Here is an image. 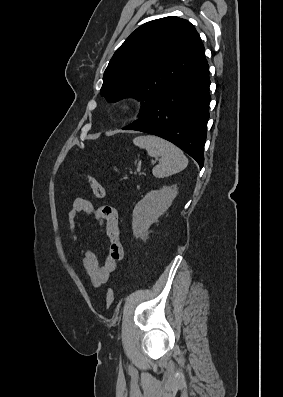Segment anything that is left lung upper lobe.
Here are the masks:
<instances>
[{"label": "left lung upper lobe", "mask_w": 283, "mask_h": 397, "mask_svg": "<svg viewBox=\"0 0 283 397\" xmlns=\"http://www.w3.org/2000/svg\"><path fill=\"white\" fill-rule=\"evenodd\" d=\"M206 61L200 36L189 21L156 19L138 27L116 50L100 92L108 102L135 97L141 101V116Z\"/></svg>", "instance_id": "obj_1"}]
</instances>
